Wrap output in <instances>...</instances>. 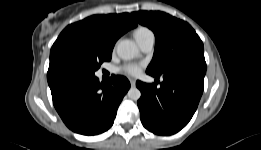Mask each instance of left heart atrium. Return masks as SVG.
<instances>
[{
    "instance_id": "1",
    "label": "left heart atrium",
    "mask_w": 261,
    "mask_h": 150,
    "mask_svg": "<svg viewBox=\"0 0 261 150\" xmlns=\"http://www.w3.org/2000/svg\"><path fill=\"white\" fill-rule=\"evenodd\" d=\"M142 65L139 63H129L121 68V71L129 75L136 76L140 73Z\"/></svg>"
}]
</instances>
